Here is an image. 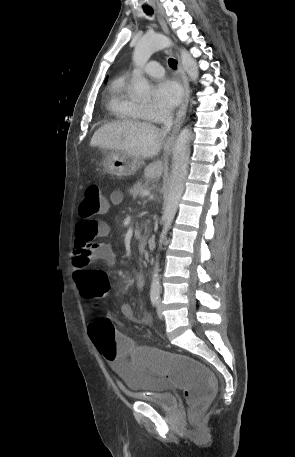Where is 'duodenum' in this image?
I'll return each instance as SVG.
<instances>
[{"label":"duodenum","instance_id":"obj_1","mask_svg":"<svg viewBox=\"0 0 295 457\" xmlns=\"http://www.w3.org/2000/svg\"><path fill=\"white\" fill-rule=\"evenodd\" d=\"M146 246H147V238H145V237L140 238V240H139V250L141 252L145 251Z\"/></svg>","mask_w":295,"mask_h":457}]
</instances>
